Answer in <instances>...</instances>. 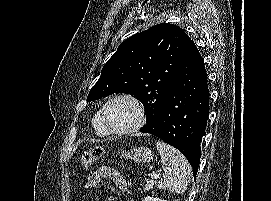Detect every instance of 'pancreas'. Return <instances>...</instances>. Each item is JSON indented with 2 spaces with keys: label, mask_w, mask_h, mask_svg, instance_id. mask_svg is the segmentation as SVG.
Returning a JSON list of instances; mask_svg holds the SVG:
<instances>
[{
  "label": "pancreas",
  "mask_w": 271,
  "mask_h": 201,
  "mask_svg": "<svg viewBox=\"0 0 271 201\" xmlns=\"http://www.w3.org/2000/svg\"><path fill=\"white\" fill-rule=\"evenodd\" d=\"M154 186H157V187L160 188V189H164V188L161 186L160 182H158V181H152V180H149V181L146 182V184H145L144 186L141 185V187L143 188V191H144V192H147L148 190L153 189ZM142 188H139V190H142Z\"/></svg>",
  "instance_id": "1"
}]
</instances>
